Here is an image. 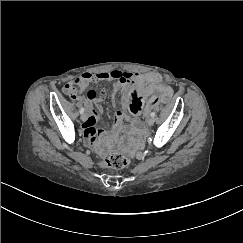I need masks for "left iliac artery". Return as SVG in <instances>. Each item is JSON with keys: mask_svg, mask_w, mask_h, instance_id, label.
<instances>
[{"mask_svg": "<svg viewBox=\"0 0 243 243\" xmlns=\"http://www.w3.org/2000/svg\"><path fill=\"white\" fill-rule=\"evenodd\" d=\"M150 115H151V117L154 118L156 114H155V112H152Z\"/></svg>", "mask_w": 243, "mask_h": 243, "instance_id": "1", "label": "left iliac artery"}]
</instances>
